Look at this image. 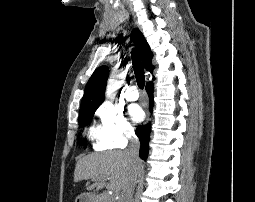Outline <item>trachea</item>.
Masks as SVG:
<instances>
[{
  "mask_svg": "<svg viewBox=\"0 0 255 202\" xmlns=\"http://www.w3.org/2000/svg\"><path fill=\"white\" fill-rule=\"evenodd\" d=\"M131 54H132L131 57H132L133 69H134L137 84L140 89H143L145 85V75H144L143 65L135 49L131 52Z\"/></svg>",
  "mask_w": 255,
  "mask_h": 202,
  "instance_id": "3493384b",
  "label": "trachea"
}]
</instances>
